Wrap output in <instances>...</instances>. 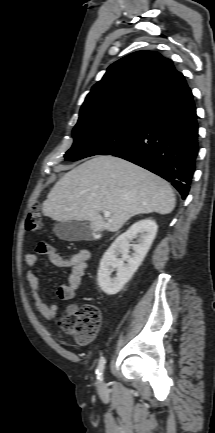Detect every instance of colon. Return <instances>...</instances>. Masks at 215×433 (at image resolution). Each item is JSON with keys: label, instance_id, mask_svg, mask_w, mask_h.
Returning a JSON list of instances; mask_svg holds the SVG:
<instances>
[{"label": "colon", "instance_id": "1", "mask_svg": "<svg viewBox=\"0 0 215 433\" xmlns=\"http://www.w3.org/2000/svg\"><path fill=\"white\" fill-rule=\"evenodd\" d=\"M26 230L36 232L43 227V218L38 203H35L26 218ZM100 311L96 305L85 304L72 315L62 318L60 326L70 334L79 344L90 343L97 335L100 326Z\"/></svg>", "mask_w": 215, "mask_h": 433}]
</instances>
